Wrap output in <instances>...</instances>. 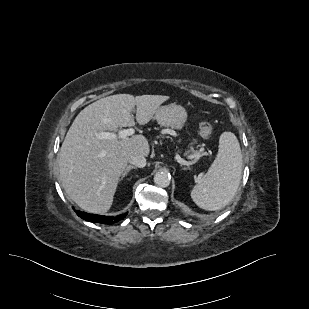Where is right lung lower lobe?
Returning <instances> with one entry per match:
<instances>
[{"label": "right lung lower lobe", "mask_w": 309, "mask_h": 309, "mask_svg": "<svg viewBox=\"0 0 309 309\" xmlns=\"http://www.w3.org/2000/svg\"><path fill=\"white\" fill-rule=\"evenodd\" d=\"M77 214L79 217H81L82 219L86 221L110 225V224L116 223L122 220L123 218H125L127 215V212L124 214L118 215L117 217L101 216V215L89 214V213L81 212V211H77Z\"/></svg>", "instance_id": "obj_1"}]
</instances>
